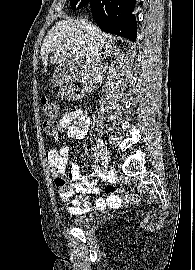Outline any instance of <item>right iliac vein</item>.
<instances>
[{"label":"right iliac vein","mask_w":195,"mask_h":270,"mask_svg":"<svg viewBox=\"0 0 195 270\" xmlns=\"http://www.w3.org/2000/svg\"><path fill=\"white\" fill-rule=\"evenodd\" d=\"M97 148H98L99 156L102 160L103 168L106 169L109 165V156H108L107 148L105 144L103 143V141L98 140Z\"/></svg>","instance_id":"obj_1"}]
</instances>
